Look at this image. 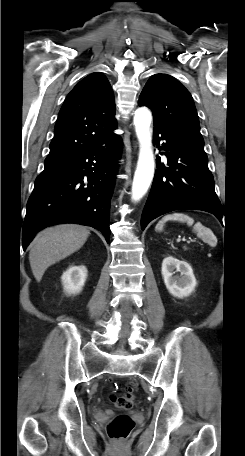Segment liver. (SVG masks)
<instances>
[{"label": "liver", "mask_w": 245, "mask_h": 456, "mask_svg": "<svg viewBox=\"0 0 245 456\" xmlns=\"http://www.w3.org/2000/svg\"><path fill=\"white\" fill-rule=\"evenodd\" d=\"M90 231L81 225L63 224L39 232L31 243L29 262L40 282L48 267L79 250Z\"/></svg>", "instance_id": "liver-1"}]
</instances>
